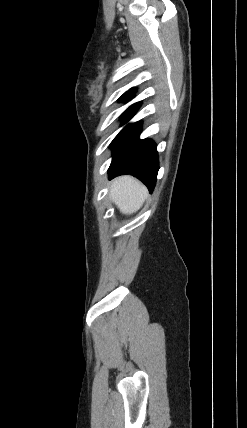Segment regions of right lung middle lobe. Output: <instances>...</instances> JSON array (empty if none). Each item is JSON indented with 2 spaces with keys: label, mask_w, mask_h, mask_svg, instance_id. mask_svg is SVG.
<instances>
[{
  "label": "right lung middle lobe",
  "mask_w": 247,
  "mask_h": 428,
  "mask_svg": "<svg viewBox=\"0 0 247 428\" xmlns=\"http://www.w3.org/2000/svg\"><path fill=\"white\" fill-rule=\"evenodd\" d=\"M133 95V93H125L120 97L119 101H128L133 97Z\"/></svg>",
  "instance_id": "dd1d6c3e"
}]
</instances>
